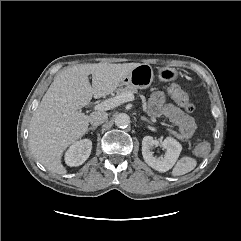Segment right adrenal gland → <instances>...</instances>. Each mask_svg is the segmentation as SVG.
Segmentation results:
<instances>
[{"instance_id":"1","label":"right adrenal gland","mask_w":241,"mask_h":241,"mask_svg":"<svg viewBox=\"0 0 241 241\" xmlns=\"http://www.w3.org/2000/svg\"><path fill=\"white\" fill-rule=\"evenodd\" d=\"M97 129V126H92L87 129L86 133H88L90 130L95 131Z\"/></svg>"}]
</instances>
